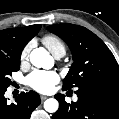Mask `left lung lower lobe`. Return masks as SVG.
<instances>
[{"label": "left lung lower lobe", "mask_w": 119, "mask_h": 119, "mask_svg": "<svg viewBox=\"0 0 119 119\" xmlns=\"http://www.w3.org/2000/svg\"><path fill=\"white\" fill-rule=\"evenodd\" d=\"M75 93L78 101L71 104L55 95L60 105L53 119H119V87H84Z\"/></svg>", "instance_id": "1"}]
</instances>
